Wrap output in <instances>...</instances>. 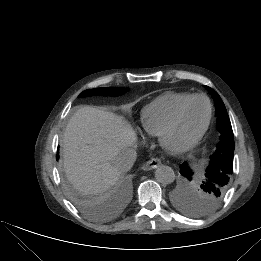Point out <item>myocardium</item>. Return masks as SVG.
Wrapping results in <instances>:
<instances>
[{"label": "myocardium", "mask_w": 261, "mask_h": 261, "mask_svg": "<svg viewBox=\"0 0 261 261\" xmlns=\"http://www.w3.org/2000/svg\"><path fill=\"white\" fill-rule=\"evenodd\" d=\"M198 98L205 100V102L207 104V116H206V120H205L202 128L191 140H189L183 144H180V145H169L167 143V137L169 136V134L172 132V130L178 123L182 110L185 108V106L189 102H191L194 99H198ZM212 112H213V108H212L211 101L209 100V98L206 95H203V94L190 95L183 102H181L176 107L174 112L172 113L170 119L168 120V122L166 123V125L164 126V128L162 129V131L160 132V134L158 136L159 144L163 148H165L166 150H168L169 152L174 153V154H183V153L191 151L199 144V142L202 140V138L206 134V132L210 126V123H211Z\"/></svg>", "instance_id": "1"}]
</instances>
